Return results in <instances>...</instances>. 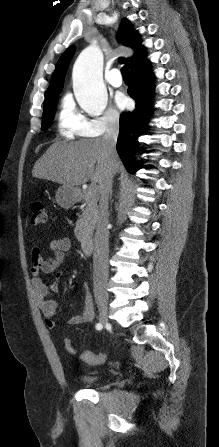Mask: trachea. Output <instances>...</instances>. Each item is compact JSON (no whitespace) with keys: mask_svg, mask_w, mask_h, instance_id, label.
Instances as JSON below:
<instances>
[{"mask_svg":"<svg viewBox=\"0 0 219 447\" xmlns=\"http://www.w3.org/2000/svg\"><path fill=\"white\" fill-rule=\"evenodd\" d=\"M128 72H129V65L123 66L121 69V74H122L123 78L128 79Z\"/></svg>","mask_w":219,"mask_h":447,"instance_id":"obj_1","label":"trachea"}]
</instances>
